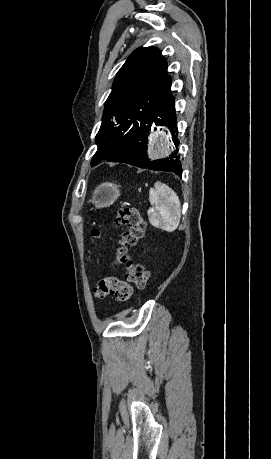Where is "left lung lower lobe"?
I'll use <instances>...</instances> for the list:
<instances>
[{"mask_svg":"<svg viewBox=\"0 0 271 459\" xmlns=\"http://www.w3.org/2000/svg\"><path fill=\"white\" fill-rule=\"evenodd\" d=\"M171 77L155 91V99L151 108L141 117L129 120L116 129L109 138L110 150L103 161L123 162L140 168L168 171L176 175L182 173V167L177 154L179 140L176 125L174 97L170 91ZM165 126L169 129L175 146L168 158L156 161L148 160V134L152 128ZM156 131V128L154 129ZM102 161V162H103Z\"/></svg>","mask_w":271,"mask_h":459,"instance_id":"obj_1","label":"left lung lower lobe"}]
</instances>
